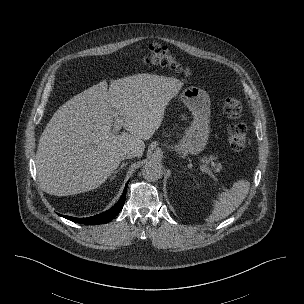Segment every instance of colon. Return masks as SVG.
Here are the masks:
<instances>
[{
  "instance_id": "1",
  "label": "colon",
  "mask_w": 304,
  "mask_h": 304,
  "mask_svg": "<svg viewBox=\"0 0 304 304\" xmlns=\"http://www.w3.org/2000/svg\"><path fill=\"white\" fill-rule=\"evenodd\" d=\"M141 60L145 64L159 65L186 76L191 75L190 69L183 65L167 47L160 44H150L145 47ZM223 112L232 121L227 130L228 143L232 150L240 152L247 143V127L241 120V101L235 96H228L223 104Z\"/></svg>"
}]
</instances>
